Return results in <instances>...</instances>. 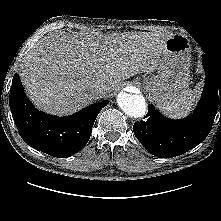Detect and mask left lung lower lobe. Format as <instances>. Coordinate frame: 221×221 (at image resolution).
Returning a JSON list of instances; mask_svg holds the SVG:
<instances>
[{
    "label": "left lung lower lobe",
    "mask_w": 221,
    "mask_h": 221,
    "mask_svg": "<svg viewBox=\"0 0 221 221\" xmlns=\"http://www.w3.org/2000/svg\"><path fill=\"white\" fill-rule=\"evenodd\" d=\"M206 81L201 100L190 116L181 120L163 117L149 105L147 121L134 123L136 138L154 156L171 158L199 145L209 134L218 104H221V78L211 68L203 55Z\"/></svg>",
    "instance_id": "left-lung-lower-lobe-1"
}]
</instances>
